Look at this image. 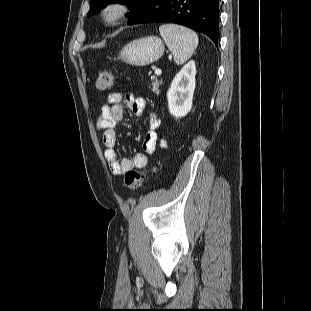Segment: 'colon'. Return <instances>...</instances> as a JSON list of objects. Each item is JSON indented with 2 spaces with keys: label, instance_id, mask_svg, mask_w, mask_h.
Here are the masks:
<instances>
[{
  "label": "colon",
  "instance_id": "colon-1",
  "mask_svg": "<svg viewBox=\"0 0 311 311\" xmlns=\"http://www.w3.org/2000/svg\"><path fill=\"white\" fill-rule=\"evenodd\" d=\"M114 83V74L109 68H103L99 71L97 77V88L101 91L109 90ZM156 171L155 167L146 170H129L125 174V185L130 191H134L141 187L144 179L151 173Z\"/></svg>",
  "mask_w": 311,
  "mask_h": 311
}]
</instances>
